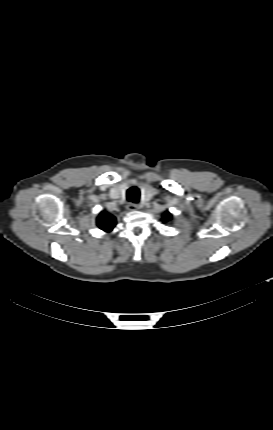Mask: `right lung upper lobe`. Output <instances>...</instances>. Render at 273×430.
<instances>
[{
    "label": "right lung upper lobe",
    "mask_w": 273,
    "mask_h": 430,
    "mask_svg": "<svg viewBox=\"0 0 273 430\" xmlns=\"http://www.w3.org/2000/svg\"><path fill=\"white\" fill-rule=\"evenodd\" d=\"M116 219L109 213L102 211L97 218V225L105 232H110L114 228Z\"/></svg>",
    "instance_id": "cb5924a9"
}]
</instances>
